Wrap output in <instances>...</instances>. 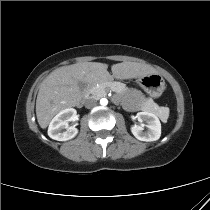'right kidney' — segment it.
<instances>
[{
    "label": "right kidney",
    "mask_w": 210,
    "mask_h": 210,
    "mask_svg": "<svg viewBox=\"0 0 210 210\" xmlns=\"http://www.w3.org/2000/svg\"><path fill=\"white\" fill-rule=\"evenodd\" d=\"M76 119L77 111L74 108L62 110L50 122L48 127L49 137L57 141H67L74 138L78 133V129L69 126L68 122Z\"/></svg>",
    "instance_id": "ca27d5eb"
}]
</instances>
